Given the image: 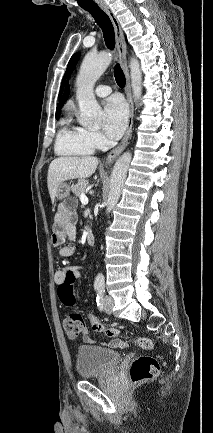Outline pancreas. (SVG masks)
I'll list each match as a JSON object with an SVG mask.
<instances>
[{
	"mask_svg": "<svg viewBox=\"0 0 213 433\" xmlns=\"http://www.w3.org/2000/svg\"><path fill=\"white\" fill-rule=\"evenodd\" d=\"M72 192L80 197L87 190V182L84 179H79L76 184L71 186Z\"/></svg>",
	"mask_w": 213,
	"mask_h": 433,
	"instance_id": "obj_1",
	"label": "pancreas"
}]
</instances>
